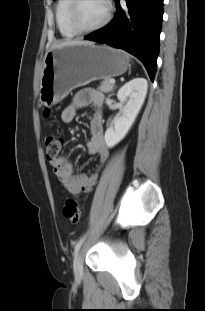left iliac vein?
Wrapping results in <instances>:
<instances>
[{"mask_svg": "<svg viewBox=\"0 0 205 311\" xmlns=\"http://www.w3.org/2000/svg\"><path fill=\"white\" fill-rule=\"evenodd\" d=\"M74 272L78 277L82 274V257L80 254L74 260Z\"/></svg>", "mask_w": 205, "mask_h": 311, "instance_id": "1", "label": "left iliac vein"}]
</instances>
